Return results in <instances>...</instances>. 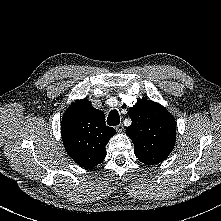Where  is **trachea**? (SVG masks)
<instances>
[{"mask_svg": "<svg viewBox=\"0 0 221 221\" xmlns=\"http://www.w3.org/2000/svg\"><path fill=\"white\" fill-rule=\"evenodd\" d=\"M120 123V116L116 109H113L109 112L107 117V124L109 126H116Z\"/></svg>", "mask_w": 221, "mask_h": 221, "instance_id": "obj_1", "label": "trachea"}]
</instances>
